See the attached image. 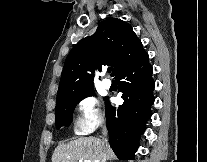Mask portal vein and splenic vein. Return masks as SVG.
I'll use <instances>...</instances> for the list:
<instances>
[{"label":"portal vein and splenic vein","instance_id":"18ae733b","mask_svg":"<svg viewBox=\"0 0 207 162\" xmlns=\"http://www.w3.org/2000/svg\"><path fill=\"white\" fill-rule=\"evenodd\" d=\"M69 160V159H68ZM79 162H92L91 160H79ZM93 162H99V161H97V160H95V161H93Z\"/></svg>","mask_w":207,"mask_h":162}]
</instances>
